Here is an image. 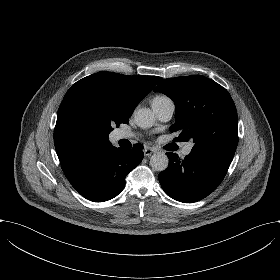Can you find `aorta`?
<instances>
[{"label":"aorta","instance_id":"obj_1","mask_svg":"<svg viewBox=\"0 0 280 280\" xmlns=\"http://www.w3.org/2000/svg\"><path fill=\"white\" fill-rule=\"evenodd\" d=\"M134 121L142 129L151 128L155 124L154 113L149 108H140L134 112ZM168 163L169 159L163 152H158L150 158V166L158 172L164 171Z\"/></svg>","mask_w":280,"mask_h":280}]
</instances>
